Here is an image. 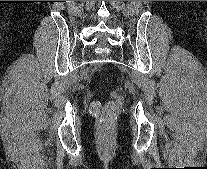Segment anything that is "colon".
Listing matches in <instances>:
<instances>
[{
    "label": "colon",
    "instance_id": "obj_1",
    "mask_svg": "<svg viewBox=\"0 0 207 169\" xmlns=\"http://www.w3.org/2000/svg\"><path fill=\"white\" fill-rule=\"evenodd\" d=\"M120 106V97L117 94L113 95V100L106 103L104 108L101 110V114L105 120L112 118L118 111ZM98 108V107H96Z\"/></svg>",
    "mask_w": 207,
    "mask_h": 169
}]
</instances>
